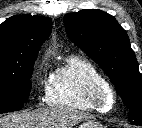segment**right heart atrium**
Instances as JSON below:
<instances>
[{"instance_id": "obj_1", "label": "right heart atrium", "mask_w": 142, "mask_h": 128, "mask_svg": "<svg viewBox=\"0 0 142 128\" xmlns=\"http://www.w3.org/2000/svg\"><path fill=\"white\" fill-rule=\"evenodd\" d=\"M52 79L46 59H43L35 72V82L41 97H47Z\"/></svg>"}]
</instances>
